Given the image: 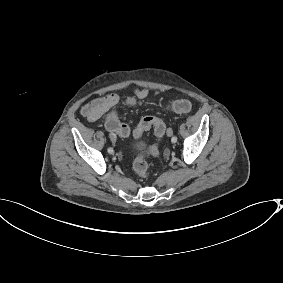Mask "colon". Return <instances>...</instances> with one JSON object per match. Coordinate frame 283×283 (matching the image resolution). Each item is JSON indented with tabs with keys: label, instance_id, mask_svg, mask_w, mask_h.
Listing matches in <instances>:
<instances>
[{
	"label": "colon",
	"instance_id": "1",
	"mask_svg": "<svg viewBox=\"0 0 283 283\" xmlns=\"http://www.w3.org/2000/svg\"><path fill=\"white\" fill-rule=\"evenodd\" d=\"M125 104L126 106H136L138 102L134 98H129L126 100ZM191 108L192 104L187 99H179L169 105V109L177 113L189 112ZM105 127L111 134H118L123 137H126L129 134L128 126L120 122L117 114L115 113L107 116L105 120ZM151 128L154 129L157 142L149 146L147 153L150 155H157L159 152L158 142L164 136L166 130L165 124L162 120L154 116L144 117L136 128L134 135L140 136L143 132ZM133 169L140 178L147 179L149 177L148 164L143 154L138 155L134 159Z\"/></svg>",
	"mask_w": 283,
	"mask_h": 283
}]
</instances>
